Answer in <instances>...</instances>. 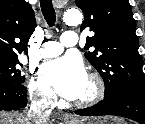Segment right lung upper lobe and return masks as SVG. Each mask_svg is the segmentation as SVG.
I'll list each match as a JSON object with an SVG mask.
<instances>
[{
    "instance_id": "cb5924a9",
    "label": "right lung upper lobe",
    "mask_w": 145,
    "mask_h": 124,
    "mask_svg": "<svg viewBox=\"0 0 145 124\" xmlns=\"http://www.w3.org/2000/svg\"><path fill=\"white\" fill-rule=\"evenodd\" d=\"M36 27L35 15L25 0H0V52L19 55Z\"/></svg>"
}]
</instances>
